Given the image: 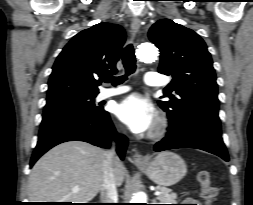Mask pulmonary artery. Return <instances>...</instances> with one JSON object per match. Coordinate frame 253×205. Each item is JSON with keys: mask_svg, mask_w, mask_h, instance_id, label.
Masks as SVG:
<instances>
[{"mask_svg": "<svg viewBox=\"0 0 253 205\" xmlns=\"http://www.w3.org/2000/svg\"><path fill=\"white\" fill-rule=\"evenodd\" d=\"M145 83L149 86H162L165 82L155 72H147L145 75ZM130 88L127 86H119L116 88H105L98 94V99L103 100L110 97H114L129 91Z\"/></svg>", "mask_w": 253, "mask_h": 205, "instance_id": "pulmonary-artery-1", "label": "pulmonary artery"}]
</instances>
